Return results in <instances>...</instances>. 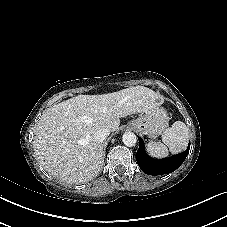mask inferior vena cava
<instances>
[{
    "mask_svg": "<svg viewBox=\"0 0 227 227\" xmlns=\"http://www.w3.org/2000/svg\"><path fill=\"white\" fill-rule=\"evenodd\" d=\"M109 134L110 131L108 129L101 128L94 133V138L99 142H103Z\"/></svg>",
    "mask_w": 227,
    "mask_h": 227,
    "instance_id": "602c4592",
    "label": "inferior vena cava"
}]
</instances>
